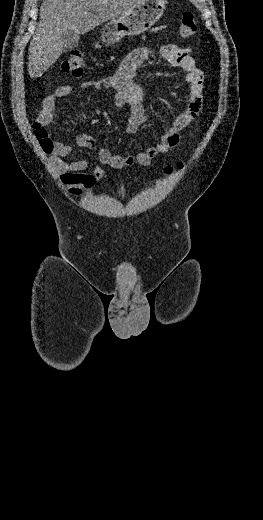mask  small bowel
<instances>
[{"label":"small bowel","mask_w":263,"mask_h":520,"mask_svg":"<svg viewBox=\"0 0 263 520\" xmlns=\"http://www.w3.org/2000/svg\"><path fill=\"white\" fill-rule=\"evenodd\" d=\"M159 54L172 66L185 72V79L189 86L188 100L184 110L177 115L169 128L163 133L159 142L146 150L128 156L112 154L108 149L96 151L95 140L88 134L79 136L82 147L96 151L99 165L87 172L88 163L85 160L68 162L65 157L71 153V147L56 141L53 144L52 155L49 159L51 166L58 173L60 181L69 187L73 194H80L82 189L93 187L104 176L103 166L121 169L125 166L139 164L148 166L152 159L160 153H167L180 141L181 131L191 124L200 114L203 106L204 74L197 67L189 48H182L175 44H165L159 48ZM153 54L149 47H138L126 56L113 76L99 80H85L79 85L81 89L95 88L112 91L115 97L131 107V118L128 131L134 133L145 119L144 109L141 105L143 87L135 81L138 68ZM76 87L71 85L59 86L54 94L47 96L42 103V110L38 121L42 126H47L55 118L56 101L75 93Z\"/></svg>","instance_id":"obj_1"}]
</instances>
